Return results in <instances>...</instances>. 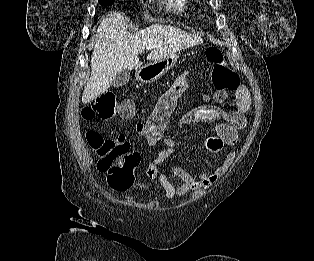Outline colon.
<instances>
[{
    "label": "colon",
    "mask_w": 314,
    "mask_h": 261,
    "mask_svg": "<svg viewBox=\"0 0 314 261\" xmlns=\"http://www.w3.org/2000/svg\"><path fill=\"white\" fill-rule=\"evenodd\" d=\"M205 54L212 64L210 75L216 98L223 101L239 88L238 76L224 61L223 54L217 47H208ZM134 114L133 103L129 100H118L112 91L100 94L81 110V117L86 122L95 119L108 121L115 117L131 118ZM86 139L89 146L99 155L98 169L106 175L108 185L116 190L130 187L139 159L136 153L130 152L125 139L105 138L96 130L87 131Z\"/></svg>",
    "instance_id": "obj_1"
}]
</instances>
